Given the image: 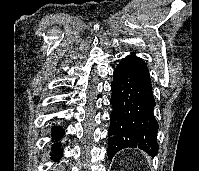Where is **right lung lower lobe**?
Masks as SVG:
<instances>
[{"instance_id": "98d812e1", "label": "right lung lower lobe", "mask_w": 199, "mask_h": 171, "mask_svg": "<svg viewBox=\"0 0 199 171\" xmlns=\"http://www.w3.org/2000/svg\"><path fill=\"white\" fill-rule=\"evenodd\" d=\"M63 135H64V131L61 127L56 126L52 129L53 139L58 140ZM52 154H53V157L55 156L56 158H60L62 156V150H61L60 144L57 143L53 146Z\"/></svg>"}]
</instances>
